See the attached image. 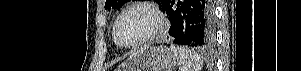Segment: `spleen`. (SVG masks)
Masks as SVG:
<instances>
[{"mask_svg": "<svg viewBox=\"0 0 301 71\" xmlns=\"http://www.w3.org/2000/svg\"><path fill=\"white\" fill-rule=\"evenodd\" d=\"M170 51L181 65V71H200L202 69L203 62L197 53L174 45L170 46Z\"/></svg>", "mask_w": 301, "mask_h": 71, "instance_id": "obj_1", "label": "spleen"}]
</instances>
